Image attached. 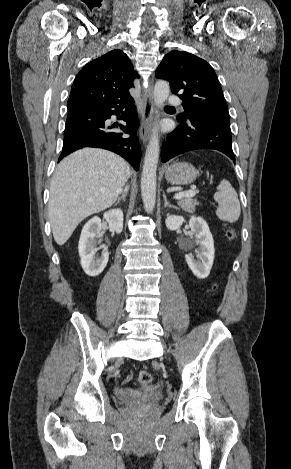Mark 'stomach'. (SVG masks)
<instances>
[{"instance_id": "obj_1", "label": "stomach", "mask_w": 291, "mask_h": 469, "mask_svg": "<svg viewBox=\"0 0 291 469\" xmlns=\"http://www.w3.org/2000/svg\"><path fill=\"white\" fill-rule=\"evenodd\" d=\"M165 178L173 185H187L195 181L198 171L188 162H175L165 168Z\"/></svg>"}]
</instances>
